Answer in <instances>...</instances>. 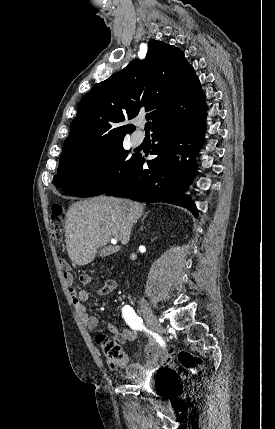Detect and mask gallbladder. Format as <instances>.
<instances>
[{
    "label": "gallbladder",
    "instance_id": "obj_1",
    "mask_svg": "<svg viewBox=\"0 0 275 429\" xmlns=\"http://www.w3.org/2000/svg\"><path fill=\"white\" fill-rule=\"evenodd\" d=\"M114 252V249L112 247H103L99 251L100 257H106L111 255Z\"/></svg>",
    "mask_w": 275,
    "mask_h": 429
}]
</instances>
